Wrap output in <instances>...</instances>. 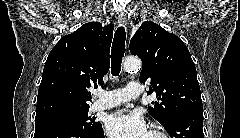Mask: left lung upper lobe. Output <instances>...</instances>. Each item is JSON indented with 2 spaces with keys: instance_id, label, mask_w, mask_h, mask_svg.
I'll use <instances>...</instances> for the list:
<instances>
[{
  "instance_id": "5c2ea615",
  "label": "left lung upper lobe",
  "mask_w": 240,
  "mask_h": 138,
  "mask_svg": "<svg viewBox=\"0 0 240 138\" xmlns=\"http://www.w3.org/2000/svg\"><path fill=\"white\" fill-rule=\"evenodd\" d=\"M130 52L140 57V80L159 101L148 107L165 128L178 115L202 110L196 67L183 41L152 21L144 22L130 41Z\"/></svg>"
}]
</instances>
